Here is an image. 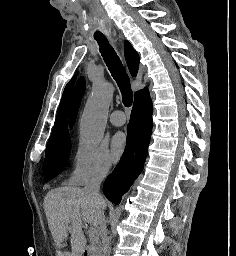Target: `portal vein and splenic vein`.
<instances>
[{
    "label": "portal vein and splenic vein",
    "mask_w": 236,
    "mask_h": 256,
    "mask_svg": "<svg viewBox=\"0 0 236 256\" xmlns=\"http://www.w3.org/2000/svg\"><path fill=\"white\" fill-rule=\"evenodd\" d=\"M90 232H91V234H94L95 230H93V228H92V230H90Z\"/></svg>",
    "instance_id": "18ae733b"
}]
</instances>
